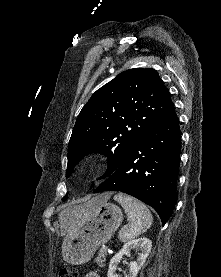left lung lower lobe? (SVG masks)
Instances as JSON below:
<instances>
[{
	"instance_id": "0a47b994",
	"label": "left lung lower lobe",
	"mask_w": 221,
	"mask_h": 277,
	"mask_svg": "<svg viewBox=\"0 0 221 277\" xmlns=\"http://www.w3.org/2000/svg\"><path fill=\"white\" fill-rule=\"evenodd\" d=\"M181 137L174 105L128 150L95 190L120 191L153 207L164 225L176 203Z\"/></svg>"
}]
</instances>
